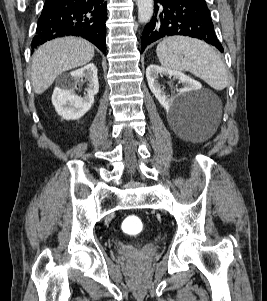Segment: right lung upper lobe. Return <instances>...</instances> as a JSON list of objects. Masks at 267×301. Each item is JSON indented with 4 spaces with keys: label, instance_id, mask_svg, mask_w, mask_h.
<instances>
[{
    "label": "right lung upper lobe",
    "instance_id": "right-lung-upper-lobe-1",
    "mask_svg": "<svg viewBox=\"0 0 267 301\" xmlns=\"http://www.w3.org/2000/svg\"><path fill=\"white\" fill-rule=\"evenodd\" d=\"M47 2L52 1V0H46Z\"/></svg>",
    "mask_w": 267,
    "mask_h": 301
}]
</instances>
